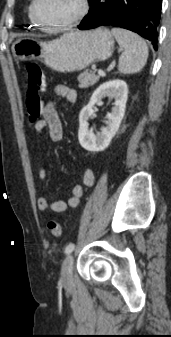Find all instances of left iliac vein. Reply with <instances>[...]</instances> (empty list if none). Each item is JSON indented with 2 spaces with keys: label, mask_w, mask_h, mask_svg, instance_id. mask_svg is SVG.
I'll return each instance as SVG.
<instances>
[{
  "label": "left iliac vein",
  "mask_w": 171,
  "mask_h": 337,
  "mask_svg": "<svg viewBox=\"0 0 171 337\" xmlns=\"http://www.w3.org/2000/svg\"><path fill=\"white\" fill-rule=\"evenodd\" d=\"M73 264L74 258L72 255H68L63 261L61 269V282L65 286H71L73 283Z\"/></svg>",
  "instance_id": "obj_1"
}]
</instances>
